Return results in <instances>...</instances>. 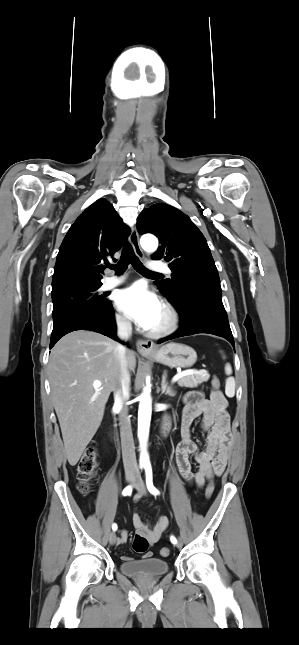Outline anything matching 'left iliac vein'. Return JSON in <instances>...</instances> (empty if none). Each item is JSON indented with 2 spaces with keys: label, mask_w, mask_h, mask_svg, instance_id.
<instances>
[{
  "label": "left iliac vein",
  "mask_w": 299,
  "mask_h": 645,
  "mask_svg": "<svg viewBox=\"0 0 299 645\" xmlns=\"http://www.w3.org/2000/svg\"><path fill=\"white\" fill-rule=\"evenodd\" d=\"M134 486L140 494L146 495V487L140 475H137L136 480L134 482ZM176 546L178 548H181L182 547L181 541H178V543H176Z\"/></svg>",
  "instance_id": "4c4485c4"
}]
</instances>
